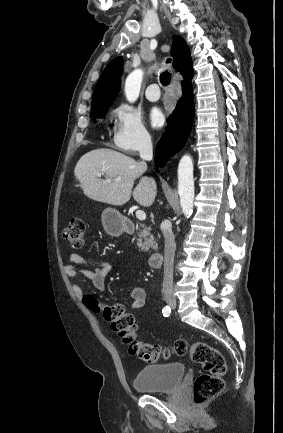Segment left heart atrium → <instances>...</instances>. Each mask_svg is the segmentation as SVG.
<instances>
[{"label": "left heart atrium", "mask_w": 283, "mask_h": 433, "mask_svg": "<svg viewBox=\"0 0 283 433\" xmlns=\"http://www.w3.org/2000/svg\"><path fill=\"white\" fill-rule=\"evenodd\" d=\"M149 121L152 127L159 128L164 123V115L158 108H153L149 114Z\"/></svg>", "instance_id": "left-heart-atrium-1"}]
</instances>
